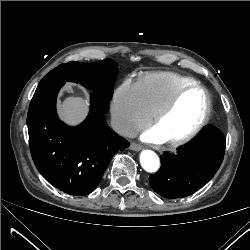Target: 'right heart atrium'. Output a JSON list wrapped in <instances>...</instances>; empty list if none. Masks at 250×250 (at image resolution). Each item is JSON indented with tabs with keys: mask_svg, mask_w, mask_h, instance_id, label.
Masks as SVG:
<instances>
[{
	"mask_svg": "<svg viewBox=\"0 0 250 250\" xmlns=\"http://www.w3.org/2000/svg\"><path fill=\"white\" fill-rule=\"evenodd\" d=\"M112 124L122 136H130L151 120L136 84L123 81L114 91L111 104Z\"/></svg>",
	"mask_w": 250,
	"mask_h": 250,
	"instance_id": "d8ad5b80",
	"label": "right heart atrium"
}]
</instances>
